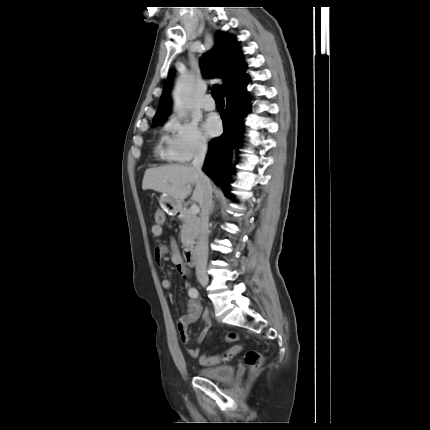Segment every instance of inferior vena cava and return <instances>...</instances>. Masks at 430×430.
I'll return each mask as SVG.
<instances>
[{"instance_id":"inferior-vena-cava-1","label":"inferior vena cava","mask_w":430,"mask_h":430,"mask_svg":"<svg viewBox=\"0 0 430 430\" xmlns=\"http://www.w3.org/2000/svg\"><path fill=\"white\" fill-rule=\"evenodd\" d=\"M207 153V147H201L194 156L192 165L199 174L203 187V196L200 202L201 219L198 229L197 253H196V275L205 278L208 260V221L212 207V186L209 178L203 173L202 165Z\"/></svg>"}]
</instances>
